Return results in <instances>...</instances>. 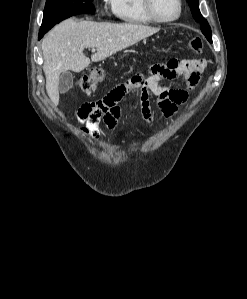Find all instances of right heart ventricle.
Instances as JSON below:
<instances>
[{
    "label": "right heart ventricle",
    "mask_w": 247,
    "mask_h": 299,
    "mask_svg": "<svg viewBox=\"0 0 247 299\" xmlns=\"http://www.w3.org/2000/svg\"><path fill=\"white\" fill-rule=\"evenodd\" d=\"M108 6L112 14L125 23H154L145 11L143 0H108Z\"/></svg>",
    "instance_id": "obj_1"
}]
</instances>
